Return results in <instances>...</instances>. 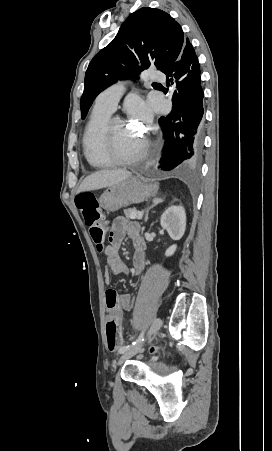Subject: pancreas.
<instances>
[{
	"label": "pancreas",
	"mask_w": 272,
	"mask_h": 451,
	"mask_svg": "<svg viewBox=\"0 0 272 451\" xmlns=\"http://www.w3.org/2000/svg\"><path fill=\"white\" fill-rule=\"evenodd\" d=\"M135 208H129V210H124V214L126 218H130L132 212H134Z\"/></svg>",
	"instance_id": "cf45deb5"
}]
</instances>
